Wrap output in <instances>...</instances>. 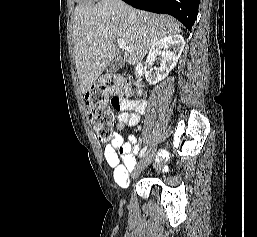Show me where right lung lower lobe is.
I'll return each instance as SVG.
<instances>
[{
  "mask_svg": "<svg viewBox=\"0 0 257 237\" xmlns=\"http://www.w3.org/2000/svg\"><path fill=\"white\" fill-rule=\"evenodd\" d=\"M129 5L154 12L170 14L178 19L188 30L192 26L198 14L200 0H123Z\"/></svg>",
  "mask_w": 257,
  "mask_h": 237,
  "instance_id": "obj_1",
  "label": "right lung lower lobe"
}]
</instances>
